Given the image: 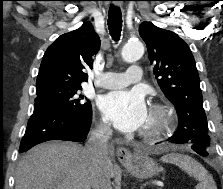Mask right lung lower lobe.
Listing matches in <instances>:
<instances>
[{"label":"right lung lower lobe","mask_w":223,"mask_h":189,"mask_svg":"<svg viewBox=\"0 0 223 189\" xmlns=\"http://www.w3.org/2000/svg\"><path fill=\"white\" fill-rule=\"evenodd\" d=\"M92 111L79 115L68 109L51 105H34L19 152L49 140L80 142L86 139Z\"/></svg>","instance_id":"obj_1"}]
</instances>
